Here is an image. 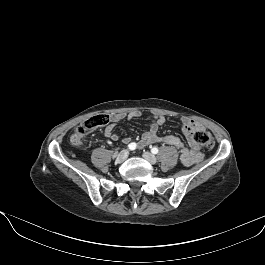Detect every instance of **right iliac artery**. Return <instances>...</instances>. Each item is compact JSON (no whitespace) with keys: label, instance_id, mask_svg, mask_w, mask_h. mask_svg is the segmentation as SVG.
<instances>
[{"label":"right iliac artery","instance_id":"right-iliac-artery-1","mask_svg":"<svg viewBox=\"0 0 265 265\" xmlns=\"http://www.w3.org/2000/svg\"><path fill=\"white\" fill-rule=\"evenodd\" d=\"M129 150H135L136 149V143L132 142L128 145Z\"/></svg>","mask_w":265,"mask_h":265}]
</instances>
